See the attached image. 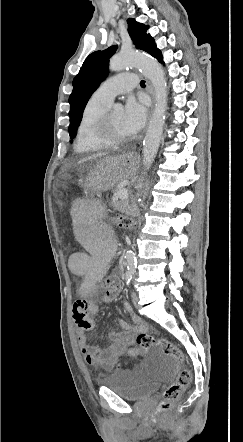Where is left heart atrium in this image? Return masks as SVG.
Listing matches in <instances>:
<instances>
[{
	"mask_svg": "<svg viewBox=\"0 0 243 442\" xmlns=\"http://www.w3.org/2000/svg\"><path fill=\"white\" fill-rule=\"evenodd\" d=\"M146 115L147 109L144 101L130 99L127 102L123 112V122L130 135L142 129L145 124Z\"/></svg>",
	"mask_w": 243,
	"mask_h": 442,
	"instance_id": "1",
	"label": "left heart atrium"
}]
</instances>
